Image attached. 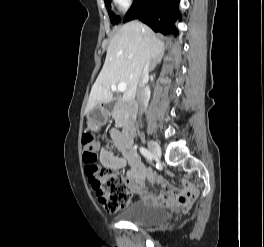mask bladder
Returning <instances> with one entry per match:
<instances>
[{"mask_svg":"<svg viewBox=\"0 0 264 247\" xmlns=\"http://www.w3.org/2000/svg\"><path fill=\"white\" fill-rule=\"evenodd\" d=\"M120 218L138 226L154 228L168 222L170 211L167 208L136 201L120 215Z\"/></svg>","mask_w":264,"mask_h":247,"instance_id":"31cf9c89","label":"bladder"}]
</instances>
